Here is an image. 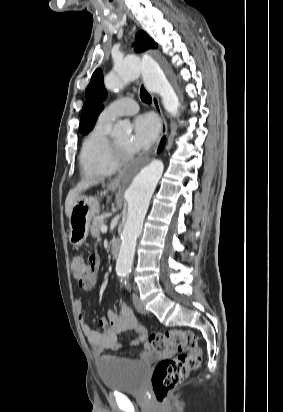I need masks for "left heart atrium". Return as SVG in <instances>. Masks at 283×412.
<instances>
[{
  "mask_svg": "<svg viewBox=\"0 0 283 412\" xmlns=\"http://www.w3.org/2000/svg\"><path fill=\"white\" fill-rule=\"evenodd\" d=\"M159 121L153 114H144L134 120L133 134L130 140V150L137 153L148 149L159 134Z\"/></svg>",
  "mask_w": 283,
  "mask_h": 412,
  "instance_id": "39dd6f15",
  "label": "left heart atrium"
}]
</instances>
